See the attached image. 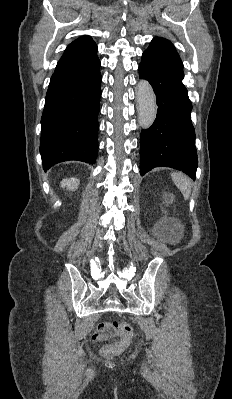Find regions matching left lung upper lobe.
I'll return each mask as SVG.
<instances>
[{
    "label": "left lung upper lobe",
    "instance_id": "left-lung-upper-lobe-1",
    "mask_svg": "<svg viewBox=\"0 0 232 399\" xmlns=\"http://www.w3.org/2000/svg\"><path fill=\"white\" fill-rule=\"evenodd\" d=\"M154 39H164V38H161V37H155ZM164 40H166V39H164Z\"/></svg>",
    "mask_w": 232,
    "mask_h": 399
}]
</instances>
